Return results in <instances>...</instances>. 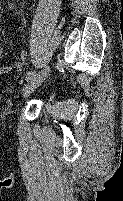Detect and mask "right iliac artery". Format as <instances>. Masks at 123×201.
<instances>
[{
  "instance_id": "1",
  "label": "right iliac artery",
  "mask_w": 123,
  "mask_h": 201,
  "mask_svg": "<svg viewBox=\"0 0 123 201\" xmlns=\"http://www.w3.org/2000/svg\"><path fill=\"white\" fill-rule=\"evenodd\" d=\"M34 76H36V72L35 71H30L27 73L25 80H30L32 79Z\"/></svg>"
}]
</instances>
